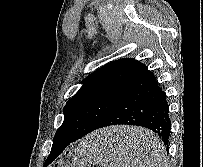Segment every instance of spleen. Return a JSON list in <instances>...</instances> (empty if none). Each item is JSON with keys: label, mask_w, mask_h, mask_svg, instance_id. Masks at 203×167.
I'll return each mask as SVG.
<instances>
[{"label": "spleen", "mask_w": 203, "mask_h": 167, "mask_svg": "<svg viewBox=\"0 0 203 167\" xmlns=\"http://www.w3.org/2000/svg\"><path fill=\"white\" fill-rule=\"evenodd\" d=\"M114 140L102 131L95 132L79 144V152L83 156H87L94 162L103 167H133L127 162L114 160L112 154ZM138 167H167L166 152L163 144L158 137L151 133L142 141L140 145V158Z\"/></svg>", "instance_id": "3e777b00"}]
</instances>
